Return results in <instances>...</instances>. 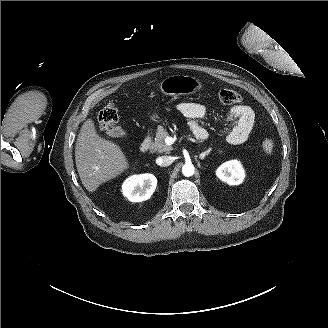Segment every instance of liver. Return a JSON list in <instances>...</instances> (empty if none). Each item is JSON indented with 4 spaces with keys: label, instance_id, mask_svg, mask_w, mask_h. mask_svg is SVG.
I'll return each instance as SVG.
<instances>
[{
    "label": "liver",
    "instance_id": "1",
    "mask_svg": "<svg viewBox=\"0 0 328 328\" xmlns=\"http://www.w3.org/2000/svg\"><path fill=\"white\" fill-rule=\"evenodd\" d=\"M76 167L80 180L89 193L118 178L131 168L123 148L97 131L93 118L82 125L75 147Z\"/></svg>",
    "mask_w": 328,
    "mask_h": 328
}]
</instances>
